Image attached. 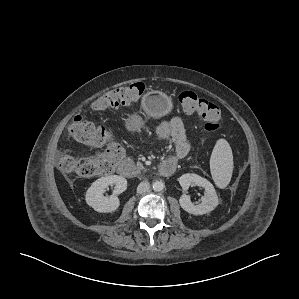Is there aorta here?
<instances>
[{
	"mask_svg": "<svg viewBox=\"0 0 299 299\" xmlns=\"http://www.w3.org/2000/svg\"><path fill=\"white\" fill-rule=\"evenodd\" d=\"M164 189V183L162 181H155L153 183V190L154 191H162Z\"/></svg>",
	"mask_w": 299,
	"mask_h": 299,
	"instance_id": "1",
	"label": "aorta"
}]
</instances>
